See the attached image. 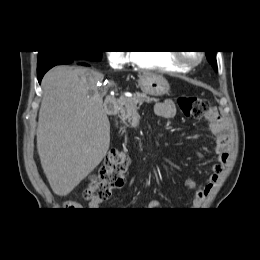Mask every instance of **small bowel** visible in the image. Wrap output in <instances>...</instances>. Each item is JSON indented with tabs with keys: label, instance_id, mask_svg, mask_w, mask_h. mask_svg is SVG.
<instances>
[{
	"label": "small bowel",
	"instance_id": "c3829d8e",
	"mask_svg": "<svg viewBox=\"0 0 260 260\" xmlns=\"http://www.w3.org/2000/svg\"><path fill=\"white\" fill-rule=\"evenodd\" d=\"M154 112L159 117L171 118L176 113V107L172 100L165 99L161 102H158L154 106ZM205 119L209 123L210 129L216 138L215 152L217 155V161L212 166L211 172L204 183L199 184L192 179H187L185 181V186L193 193L191 201L192 208H199L202 205L211 189L218 181L229 157L230 143L228 129L225 122L219 117L218 114L214 116L208 115L205 117ZM133 181L134 180L132 179L130 184H132ZM102 203L103 200L93 199L89 202V209L99 210L102 206ZM144 207L150 210L157 209L160 208V203L156 200H152L146 202Z\"/></svg>",
	"mask_w": 260,
	"mask_h": 260
}]
</instances>
